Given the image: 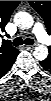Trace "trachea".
I'll return each mask as SVG.
<instances>
[{
  "instance_id": "trachea-1",
  "label": "trachea",
  "mask_w": 51,
  "mask_h": 101,
  "mask_svg": "<svg viewBox=\"0 0 51 101\" xmlns=\"http://www.w3.org/2000/svg\"><path fill=\"white\" fill-rule=\"evenodd\" d=\"M23 43L26 45H33L34 41L33 39H29V38L23 40L21 37H17L13 41L14 46H19V45H22Z\"/></svg>"
}]
</instances>
